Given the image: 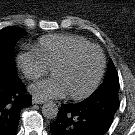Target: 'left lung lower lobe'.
Wrapping results in <instances>:
<instances>
[{"label":"left lung lower lobe","mask_w":135,"mask_h":135,"mask_svg":"<svg viewBox=\"0 0 135 135\" xmlns=\"http://www.w3.org/2000/svg\"><path fill=\"white\" fill-rule=\"evenodd\" d=\"M119 106L114 93L104 97H88L82 102L62 104L57 120L50 124L52 135H104L112 124Z\"/></svg>","instance_id":"0a47b994"}]
</instances>
